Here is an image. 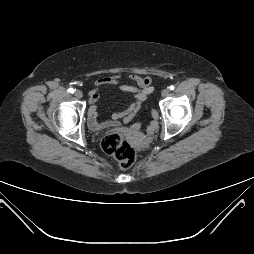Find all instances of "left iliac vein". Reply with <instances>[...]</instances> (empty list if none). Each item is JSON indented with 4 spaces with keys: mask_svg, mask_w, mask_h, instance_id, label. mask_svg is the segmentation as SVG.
Segmentation results:
<instances>
[{
    "mask_svg": "<svg viewBox=\"0 0 254 254\" xmlns=\"http://www.w3.org/2000/svg\"><path fill=\"white\" fill-rule=\"evenodd\" d=\"M169 92H170L169 89H167V88H166V89H163L162 92H161L162 97L168 96V95H169Z\"/></svg>",
    "mask_w": 254,
    "mask_h": 254,
    "instance_id": "4c4485c4",
    "label": "left iliac vein"
}]
</instances>
